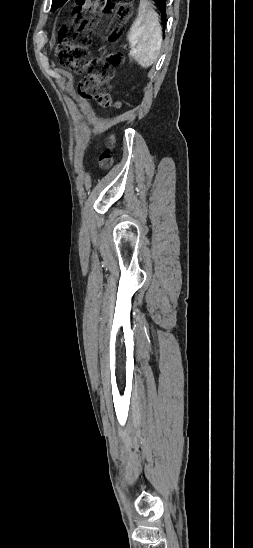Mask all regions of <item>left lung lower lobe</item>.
<instances>
[{"instance_id":"left-lung-lower-lobe-1","label":"left lung lower lobe","mask_w":253,"mask_h":548,"mask_svg":"<svg viewBox=\"0 0 253 548\" xmlns=\"http://www.w3.org/2000/svg\"><path fill=\"white\" fill-rule=\"evenodd\" d=\"M67 0H62L61 2H59V4H57L53 10L57 9L58 7L60 6H63V4L66 2ZM156 5L158 6V8L160 9L161 13H162V20H163V26H165V18H166V3H165V0H153Z\"/></svg>"}]
</instances>
